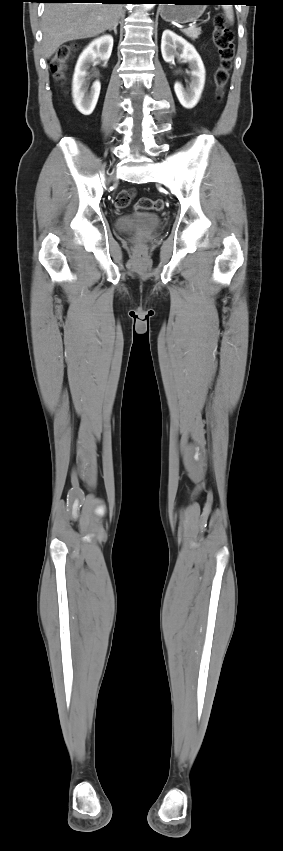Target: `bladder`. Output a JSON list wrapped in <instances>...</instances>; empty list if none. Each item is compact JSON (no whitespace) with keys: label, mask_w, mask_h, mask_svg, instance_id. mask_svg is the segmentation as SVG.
Returning a JSON list of instances; mask_svg holds the SVG:
<instances>
[{"label":"bladder","mask_w":283,"mask_h":851,"mask_svg":"<svg viewBox=\"0 0 283 851\" xmlns=\"http://www.w3.org/2000/svg\"><path fill=\"white\" fill-rule=\"evenodd\" d=\"M161 225V219L151 213L127 214L119 216L115 221L118 231L126 233L137 227L157 228Z\"/></svg>","instance_id":"31cf9c89"}]
</instances>
